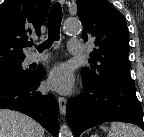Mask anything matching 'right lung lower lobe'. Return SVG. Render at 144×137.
I'll use <instances>...</instances> for the list:
<instances>
[{
	"label": "right lung lower lobe",
	"mask_w": 144,
	"mask_h": 137,
	"mask_svg": "<svg viewBox=\"0 0 144 137\" xmlns=\"http://www.w3.org/2000/svg\"><path fill=\"white\" fill-rule=\"evenodd\" d=\"M42 77L43 70L36 69L25 79L0 80V108L22 112L56 136L59 129L58 102L54 95L37 90Z\"/></svg>",
	"instance_id": "obj_1"
}]
</instances>
